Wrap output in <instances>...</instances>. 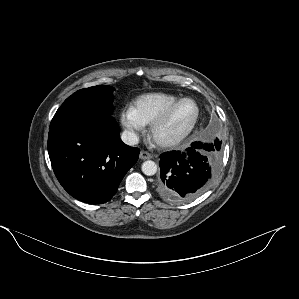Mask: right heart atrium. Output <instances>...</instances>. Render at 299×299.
<instances>
[{"instance_id": "d8ad5b80", "label": "right heart atrium", "mask_w": 299, "mask_h": 299, "mask_svg": "<svg viewBox=\"0 0 299 299\" xmlns=\"http://www.w3.org/2000/svg\"><path fill=\"white\" fill-rule=\"evenodd\" d=\"M119 120L131 141H135L139 134L144 131L145 124L137 117L132 107L123 108Z\"/></svg>"}]
</instances>
